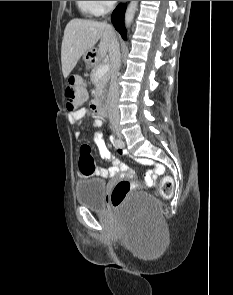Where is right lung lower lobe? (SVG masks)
<instances>
[{"label": "right lung lower lobe", "mask_w": 233, "mask_h": 295, "mask_svg": "<svg viewBox=\"0 0 233 295\" xmlns=\"http://www.w3.org/2000/svg\"><path fill=\"white\" fill-rule=\"evenodd\" d=\"M125 10H126V6L120 4L113 11V15H112V22L115 26V29L121 34L123 39H126V30L124 27Z\"/></svg>", "instance_id": "obj_1"}]
</instances>
